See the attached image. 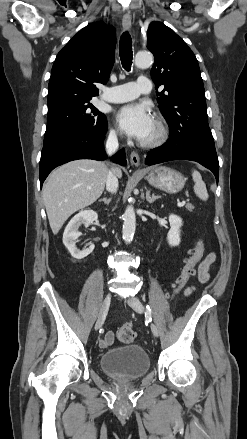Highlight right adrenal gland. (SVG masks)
I'll list each match as a JSON object with an SVG mask.
<instances>
[{"label": "right adrenal gland", "instance_id": "right-adrenal-gland-1", "mask_svg": "<svg viewBox=\"0 0 247 439\" xmlns=\"http://www.w3.org/2000/svg\"><path fill=\"white\" fill-rule=\"evenodd\" d=\"M110 201H111V198H109V199L103 198V199L99 200V202H104L106 205H108L110 203Z\"/></svg>", "mask_w": 247, "mask_h": 439}]
</instances>
